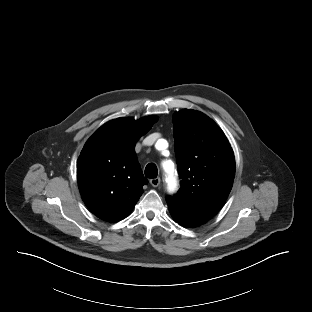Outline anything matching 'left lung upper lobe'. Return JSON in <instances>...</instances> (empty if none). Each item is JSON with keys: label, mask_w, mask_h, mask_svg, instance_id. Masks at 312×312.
<instances>
[{"label": "left lung upper lobe", "mask_w": 312, "mask_h": 312, "mask_svg": "<svg viewBox=\"0 0 312 312\" xmlns=\"http://www.w3.org/2000/svg\"><path fill=\"white\" fill-rule=\"evenodd\" d=\"M181 188L167 197L171 215L201 225L224 205L233 185L235 158L217 124L202 112L182 110L172 118Z\"/></svg>", "instance_id": "1"}]
</instances>
